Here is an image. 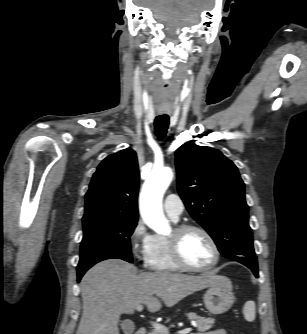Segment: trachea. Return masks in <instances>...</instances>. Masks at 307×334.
Returning a JSON list of instances; mask_svg holds the SVG:
<instances>
[{
	"label": "trachea",
	"instance_id": "1",
	"mask_svg": "<svg viewBox=\"0 0 307 334\" xmlns=\"http://www.w3.org/2000/svg\"><path fill=\"white\" fill-rule=\"evenodd\" d=\"M155 134L159 140H163L166 136L169 126V117L167 115L157 116L154 122Z\"/></svg>",
	"mask_w": 307,
	"mask_h": 334
}]
</instances>
